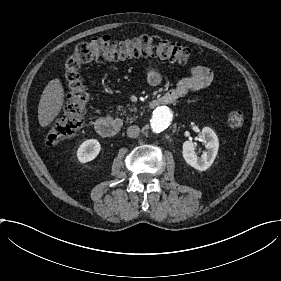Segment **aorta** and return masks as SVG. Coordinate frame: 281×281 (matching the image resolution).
I'll return each mask as SVG.
<instances>
[{
    "label": "aorta",
    "instance_id": "762f6f07",
    "mask_svg": "<svg viewBox=\"0 0 281 281\" xmlns=\"http://www.w3.org/2000/svg\"><path fill=\"white\" fill-rule=\"evenodd\" d=\"M173 119L171 110L166 106H160L153 111L152 116V129L155 132H161L167 129Z\"/></svg>",
    "mask_w": 281,
    "mask_h": 281
}]
</instances>
